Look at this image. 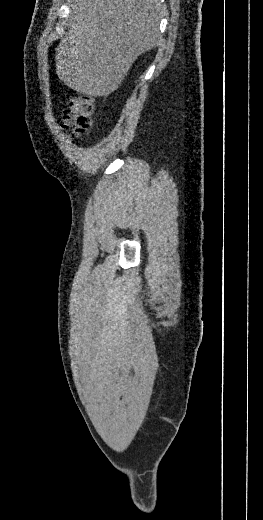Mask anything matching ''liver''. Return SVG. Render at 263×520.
<instances>
[{
	"instance_id": "1",
	"label": "liver",
	"mask_w": 263,
	"mask_h": 520,
	"mask_svg": "<svg viewBox=\"0 0 263 520\" xmlns=\"http://www.w3.org/2000/svg\"><path fill=\"white\" fill-rule=\"evenodd\" d=\"M70 30L56 48V74L93 97L112 93L134 61L160 40V0H72Z\"/></svg>"
}]
</instances>
